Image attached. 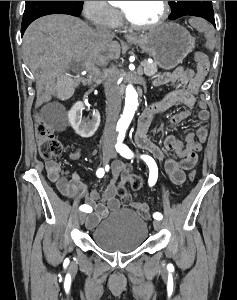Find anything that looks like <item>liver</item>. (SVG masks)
Instances as JSON below:
<instances>
[{"label":"liver","mask_w":237,"mask_h":300,"mask_svg":"<svg viewBox=\"0 0 237 300\" xmlns=\"http://www.w3.org/2000/svg\"><path fill=\"white\" fill-rule=\"evenodd\" d=\"M23 53L31 71H36V89L51 95L55 77L71 69L74 61H92L98 67L119 59L121 49L117 41L100 39L87 23L71 15H47L26 29ZM90 71L91 65H83Z\"/></svg>","instance_id":"1"}]
</instances>
